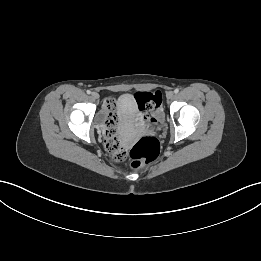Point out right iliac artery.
Wrapping results in <instances>:
<instances>
[{
  "instance_id": "1",
  "label": "right iliac artery",
  "mask_w": 261,
  "mask_h": 261,
  "mask_svg": "<svg viewBox=\"0 0 261 261\" xmlns=\"http://www.w3.org/2000/svg\"><path fill=\"white\" fill-rule=\"evenodd\" d=\"M87 94H91V91H90V90H87Z\"/></svg>"
}]
</instances>
